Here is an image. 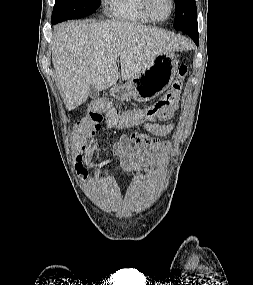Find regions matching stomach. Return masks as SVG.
Here are the masks:
<instances>
[{"label":"stomach","instance_id":"obj_1","mask_svg":"<svg viewBox=\"0 0 253 285\" xmlns=\"http://www.w3.org/2000/svg\"><path fill=\"white\" fill-rule=\"evenodd\" d=\"M178 59L171 52H164L137 76L124 84L113 85L110 95L116 100L133 98L137 102H146L163 93L175 78Z\"/></svg>","mask_w":253,"mask_h":285}]
</instances>
